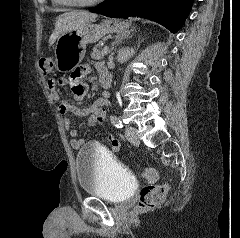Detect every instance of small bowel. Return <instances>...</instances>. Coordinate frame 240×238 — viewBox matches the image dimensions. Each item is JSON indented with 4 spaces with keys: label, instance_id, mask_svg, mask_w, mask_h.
Listing matches in <instances>:
<instances>
[{
    "label": "small bowel",
    "instance_id": "small-bowel-1",
    "mask_svg": "<svg viewBox=\"0 0 240 238\" xmlns=\"http://www.w3.org/2000/svg\"><path fill=\"white\" fill-rule=\"evenodd\" d=\"M99 73L106 72V70L102 66H98ZM90 72V68L88 66H83L78 68L72 74V77L69 79L60 78L55 80L54 78H50L47 80V89L50 94V97L53 101L59 102L58 109L59 112L63 115L72 113L76 116L80 117H88V125H102L106 118V107L109 106L108 94L104 95L97 99L95 103L88 108H80L74 104H71L67 101H60L58 85L61 86H69L73 96L76 100H81L87 91L85 84L81 82V77ZM64 126L68 131L71 137V146L74 149H80L84 144V139H78V131L72 125V122L69 118L64 119ZM109 141L112 149L114 150V154H122L123 150L120 148L124 147L123 143H119L116 139L109 136Z\"/></svg>",
    "mask_w": 240,
    "mask_h": 238
}]
</instances>
